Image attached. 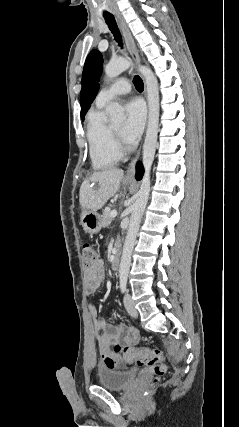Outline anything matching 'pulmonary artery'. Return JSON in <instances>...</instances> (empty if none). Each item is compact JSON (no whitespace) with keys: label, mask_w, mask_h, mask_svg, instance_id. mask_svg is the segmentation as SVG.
I'll list each match as a JSON object with an SVG mask.
<instances>
[{"label":"pulmonary artery","mask_w":239,"mask_h":427,"mask_svg":"<svg viewBox=\"0 0 239 427\" xmlns=\"http://www.w3.org/2000/svg\"><path fill=\"white\" fill-rule=\"evenodd\" d=\"M131 90V85L129 81L125 78H121L114 82L112 85L103 88L97 95L96 104L97 105H106L115 98L129 93Z\"/></svg>","instance_id":"obj_1"}]
</instances>
